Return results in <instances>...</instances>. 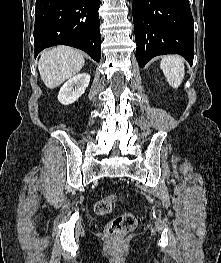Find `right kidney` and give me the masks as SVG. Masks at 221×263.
Instances as JSON below:
<instances>
[{
  "label": "right kidney",
  "mask_w": 221,
  "mask_h": 263,
  "mask_svg": "<svg viewBox=\"0 0 221 263\" xmlns=\"http://www.w3.org/2000/svg\"><path fill=\"white\" fill-rule=\"evenodd\" d=\"M90 82L88 73H80L70 78L60 89L58 101L69 105L78 100L85 92Z\"/></svg>",
  "instance_id": "obj_1"
}]
</instances>
